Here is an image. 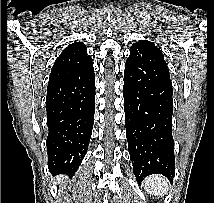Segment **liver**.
<instances>
[{
	"instance_id": "6515ba94",
	"label": "liver",
	"mask_w": 214,
	"mask_h": 203,
	"mask_svg": "<svg viewBox=\"0 0 214 203\" xmlns=\"http://www.w3.org/2000/svg\"><path fill=\"white\" fill-rule=\"evenodd\" d=\"M58 181L62 184L63 182H65V177L63 175H60L58 177Z\"/></svg>"
}]
</instances>
